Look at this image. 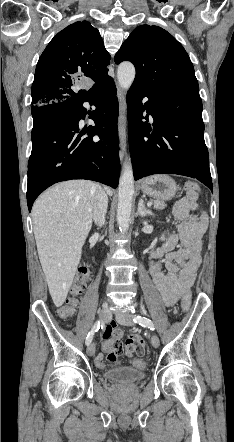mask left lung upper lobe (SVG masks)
Listing matches in <instances>:
<instances>
[{"mask_svg": "<svg viewBox=\"0 0 234 442\" xmlns=\"http://www.w3.org/2000/svg\"><path fill=\"white\" fill-rule=\"evenodd\" d=\"M131 61L136 68L133 84L167 90L199 92L192 62L182 45L158 26L141 25L129 35L115 62Z\"/></svg>", "mask_w": 234, "mask_h": 442, "instance_id": "5c2ea615", "label": "left lung upper lobe"}]
</instances>
